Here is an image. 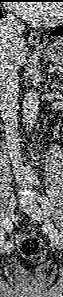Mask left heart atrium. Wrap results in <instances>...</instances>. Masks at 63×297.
Here are the masks:
<instances>
[{"mask_svg":"<svg viewBox=\"0 0 63 297\" xmlns=\"http://www.w3.org/2000/svg\"><path fill=\"white\" fill-rule=\"evenodd\" d=\"M11 8L32 22H43L51 16V8L44 4L12 3Z\"/></svg>","mask_w":63,"mask_h":297,"instance_id":"obj_1","label":"left heart atrium"}]
</instances>
